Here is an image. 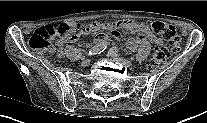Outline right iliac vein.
<instances>
[{"mask_svg": "<svg viewBox=\"0 0 207 123\" xmlns=\"http://www.w3.org/2000/svg\"><path fill=\"white\" fill-rule=\"evenodd\" d=\"M90 59H84L82 62H81V65L83 66V67H86V66H88L89 64H90Z\"/></svg>", "mask_w": 207, "mask_h": 123, "instance_id": "right-iliac-vein-1", "label": "right iliac vein"}]
</instances>
